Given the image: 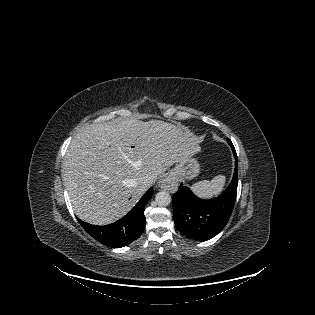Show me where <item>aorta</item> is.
Segmentation results:
<instances>
[{
  "instance_id": "aorta-1",
  "label": "aorta",
  "mask_w": 315,
  "mask_h": 315,
  "mask_svg": "<svg viewBox=\"0 0 315 315\" xmlns=\"http://www.w3.org/2000/svg\"><path fill=\"white\" fill-rule=\"evenodd\" d=\"M155 201L160 207L168 206L171 203V195L166 191H160L156 194Z\"/></svg>"
}]
</instances>
